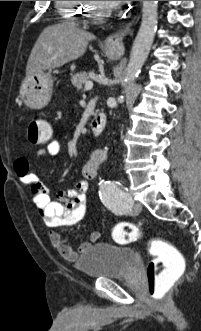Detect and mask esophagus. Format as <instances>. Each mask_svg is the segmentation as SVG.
I'll use <instances>...</instances> for the list:
<instances>
[{
    "label": "esophagus",
    "mask_w": 201,
    "mask_h": 331,
    "mask_svg": "<svg viewBox=\"0 0 201 331\" xmlns=\"http://www.w3.org/2000/svg\"><path fill=\"white\" fill-rule=\"evenodd\" d=\"M134 20L128 23L125 27L118 30L117 32L109 35L105 41V48L112 54H123L124 53V38L131 32Z\"/></svg>",
    "instance_id": "34e87169"
}]
</instances>
